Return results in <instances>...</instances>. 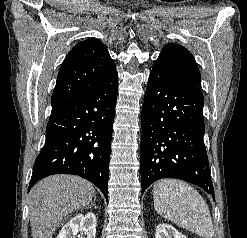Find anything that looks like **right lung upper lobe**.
<instances>
[{
  "mask_svg": "<svg viewBox=\"0 0 247 238\" xmlns=\"http://www.w3.org/2000/svg\"><path fill=\"white\" fill-rule=\"evenodd\" d=\"M116 72L107 48L96 38L79 42L68 53L58 73L52 111L76 100Z\"/></svg>",
  "mask_w": 247,
  "mask_h": 238,
  "instance_id": "obj_1",
  "label": "right lung upper lobe"
}]
</instances>
